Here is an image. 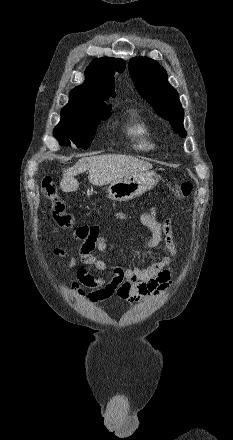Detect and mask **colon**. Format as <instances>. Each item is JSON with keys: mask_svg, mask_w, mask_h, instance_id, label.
Returning <instances> with one entry per match:
<instances>
[{"mask_svg": "<svg viewBox=\"0 0 233 440\" xmlns=\"http://www.w3.org/2000/svg\"><path fill=\"white\" fill-rule=\"evenodd\" d=\"M193 190V184L187 180H174L172 182V192L177 197H188ZM43 196L51 199L52 217L59 228L69 229L75 224L73 216L66 211V203L57 191L56 180L52 177H45L41 184Z\"/></svg>", "mask_w": 233, "mask_h": 440, "instance_id": "obj_1", "label": "colon"}]
</instances>
